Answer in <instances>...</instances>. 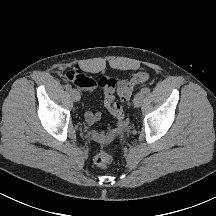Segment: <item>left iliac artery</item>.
Returning a JSON list of instances; mask_svg holds the SVG:
<instances>
[{"label": "left iliac artery", "instance_id": "left-iliac-artery-1", "mask_svg": "<svg viewBox=\"0 0 216 216\" xmlns=\"http://www.w3.org/2000/svg\"><path fill=\"white\" fill-rule=\"evenodd\" d=\"M141 92H142L143 94H148V93L150 92V88H149V87H144V88L141 90Z\"/></svg>", "mask_w": 216, "mask_h": 216}]
</instances>
